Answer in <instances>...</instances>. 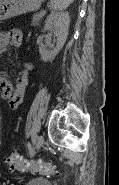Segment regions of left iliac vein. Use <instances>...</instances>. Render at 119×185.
<instances>
[{
	"label": "left iliac vein",
	"mask_w": 119,
	"mask_h": 185,
	"mask_svg": "<svg viewBox=\"0 0 119 185\" xmlns=\"http://www.w3.org/2000/svg\"><path fill=\"white\" fill-rule=\"evenodd\" d=\"M44 144V137L40 135L35 143V150H39Z\"/></svg>",
	"instance_id": "obj_1"
}]
</instances>
